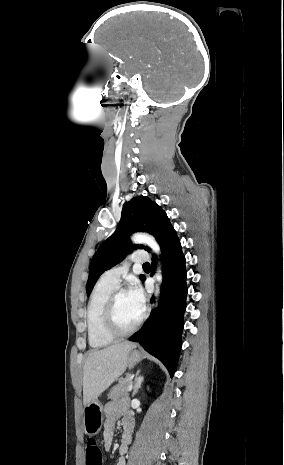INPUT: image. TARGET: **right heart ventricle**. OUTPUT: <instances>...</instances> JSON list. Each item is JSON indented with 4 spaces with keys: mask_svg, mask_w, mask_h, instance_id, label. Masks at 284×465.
<instances>
[{
    "mask_svg": "<svg viewBox=\"0 0 284 465\" xmlns=\"http://www.w3.org/2000/svg\"><path fill=\"white\" fill-rule=\"evenodd\" d=\"M116 287L99 280L92 289L85 315L89 346H110L114 342V339L105 333L103 321L108 299Z\"/></svg>",
    "mask_w": 284,
    "mask_h": 465,
    "instance_id": "obj_1",
    "label": "right heart ventricle"
}]
</instances>
